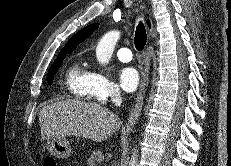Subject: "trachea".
Segmentation results:
<instances>
[{
    "label": "trachea",
    "mask_w": 231,
    "mask_h": 166,
    "mask_svg": "<svg viewBox=\"0 0 231 166\" xmlns=\"http://www.w3.org/2000/svg\"><path fill=\"white\" fill-rule=\"evenodd\" d=\"M147 34L144 27V24L140 22L136 27L134 45L138 51H142L146 45Z\"/></svg>",
    "instance_id": "3493384b"
}]
</instances>
